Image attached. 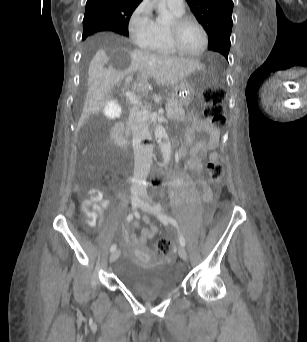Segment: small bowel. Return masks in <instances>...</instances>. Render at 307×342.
Returning a JSON list of instances; mask_svg holds the SVG:
<instances>
[{
	"label": "small bowel",
	"instance_id": "obj_1",
	"mask_svg": "<svg viewBox=\"0 0 307 342\" xmlns=\"http://www.w3.org/2000/svg\"><path fill=\"white\" fill-rule=\"evenodd\" d=\"M199 133H205L207 138L195 141L196 135ZM219 139V129L213 127L209 121L201 119L195 120L187 131L185 146L181 150L183 154H186L189 151V158L186 161L187 167L197 174H200L202 170L201 161L207 154H209V159L211 161L218 160L219 155L215 149L219 143ZM198 183L203 190L204 200L210 202L212 200V194L208 183L202 178L198 179ZM108 205L109 201L103 198L102 193L99 190L91 189L88 192V197L84 199L81 204V208L87 217L88 224L94 226L97 218L102 219L103 212ZM145 222L148 224V227L141 228L140 236L130 233L131 230L139 227L138 222H134L126 229L123 237L129 239L131 248L138 250L145 249L147 242L157 234V226L149 221L148 218H145Z\"/></svg>",
	"mask_w": 307,
	"mask_h": 342
}]
</instances>
